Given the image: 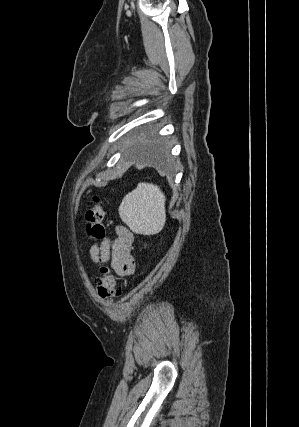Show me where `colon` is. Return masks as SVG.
I'll return each mask as SVG.
<instances>
[{"label":"colon","mask_w":299,"mask_h":427,"mask_svg":"<svg viewBox=\"0 0 299 427\" xmlns=\"http://www.w3.org/2000/svg\"><path fill=\"white\" fill-rule=\"evenodd\" d=\"M86 235L90 240L99 241L105 237V211L97 196L86 209ZM102 263V261H99ZM101 276L97 281V292L103 299L115 300L122 294V287L117 283L111 269L104 264L100 266Z\"/></svg>","instance_id":"1"}]
</instances>
